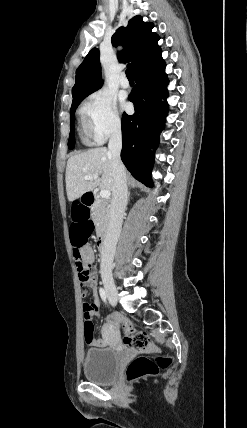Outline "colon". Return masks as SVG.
I'll list each match as a JSON object with an SVG mask.
<instances>
[{
    "label": "colon",
    "mask_w": 247,
    "mask_h": 428,
    "mask_svg": "<svg viewBox=\"0 0 247 428\" xmlns=\"http://www.w3.org/2000/svg\"><path fill=\"white\" fill-rule=\"evenodd\" d=\"M69 239L73 247V256L79 272L80 282H87L90 276V267L83 260L81 247L85 246V239H91L94 230V219L89 217L90 204H69ZM84 308V337L87 344L94 340V324L87 307ZM115 320L122 326L127 335L124 344L134 350L144 351L150 349L152 344L148 335L144 332H134L130 320L122 315H115ZM172 359L166 356L156 357L154 360L146 356H138L130 362L126 370V378L129 382L136 381L145 376L156 375L160 369L170 366Z\"/></svg>",
    "instance_id": "obj_1"
}]
</instances>
